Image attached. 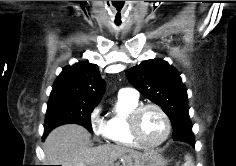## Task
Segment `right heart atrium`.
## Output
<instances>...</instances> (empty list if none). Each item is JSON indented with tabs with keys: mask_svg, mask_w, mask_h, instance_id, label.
Here are the masks:
<instances>
[{
	"mask_svg": "<svg viewBox=\"0 0 236 166\" xmlns=\"http://www.w3.org/2000/svg\"><path fill=\"white\" fill-rule=\"evenodd\" d=\"M91 129L95 136L106 137V122L102 116L100 105L95 106L89 115Z\"/></svg>",
	"mask_w": 236,
	"mask_h": 166,
	"instance_id": "obj_1",
	"label": "right heart atrium"
}]
</instances>
